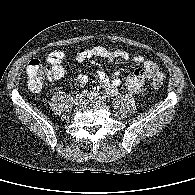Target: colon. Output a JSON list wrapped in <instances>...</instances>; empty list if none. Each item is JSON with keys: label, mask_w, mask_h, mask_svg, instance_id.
Wrapping results in <instances>:
<instances>
[{"label": "colon", "mask_w": 195, "mask_h": 195, "mask_svg": "<svg viewBox=\"0 0 195 195\" xmlns=\"http://www.w3.org/2000/svg\"><path fill=\"white\" fill-rule=\"evenodd\" d=\"M44 64L40 60H32L27 66V75L29 87L37 91L41 89L43 84L51 79H58L63 75V68L59 64ZM164 77L153 80L152 86L160 88L163 85Z\"/></svg>", "instance_id": "5ec220e1"}]
</instances>
